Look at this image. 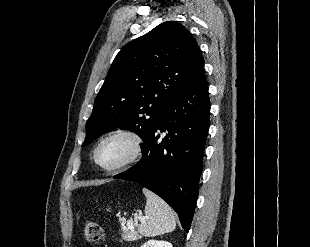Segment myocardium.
<instances>
[{
  "label": "myocardium",
  "instance_id": "1",
  "mask_svg": "<svg viewBox=\"0 0 310 247\" xmlns=\"http://www.w3.org/2000/svg\"><path fill=\"white\" fill-rule=\"evenodd\" d=\"M126 138L131 145V150L129 155L120 163L114 165V166H104L102 165L98 160V153L100 148L104 143L107 141L113 139V138ZM144 146H143V138L140 135L139 132H137L134 129L131 128H119L117 130L112 131L108 135H106L96 146L94 153H93V159L97 166H99L101 169L107 172H117L120 170H123L131 165H133L135 162H137L140 157L143 154Z\"/></svg>",
  "mask_w": 310,
  "mask_h": 247
}]
</instances>
